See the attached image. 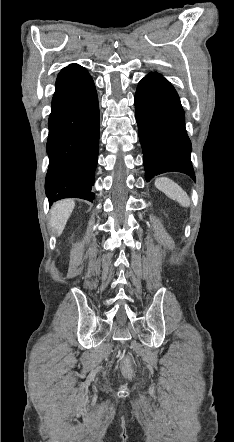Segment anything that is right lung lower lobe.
Listing matches in <instances>:
<instances>
[{"label": "right lung lower lobe", "mask_w": 234, "mask_h": 442, "mask_svg": "<svg viewBox=\"0 0 234 442\" xmlns=\"http://www.w3.org/2000/svg\"><path fill=\"white\" fill-rule=\"evenodd\" d=\"M48 127L50 205L67 197L92 201L100 124L96 88L85 68L74 64L58 74Z\"/></svg>", "instance_id": "98d812e1"}]
</instances>
